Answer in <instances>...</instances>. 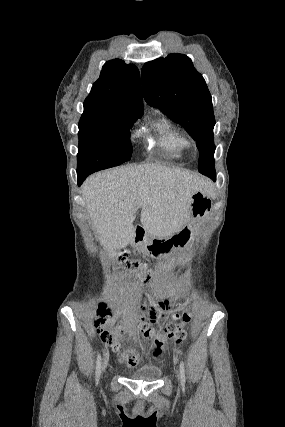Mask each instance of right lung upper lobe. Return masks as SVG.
Instances as JSON below:
<instances>
[{
	"label": "right lung upper lobe",
	"mask_w": 285,
	"mask_h": 427,
	"mask_svg": "<svg viewBox=\"0 0 285 427\" xmlns=\"http://www.w3.org/2000/svg\"><path fill=\"white\" fill-rule=\"evenodd\" d=\"M143 113L140 74L133 64L107 61L84 102L79 124L129 121Z\"/></svg>",
	"instance_id": "cb5924a9"
}]
</instances>
